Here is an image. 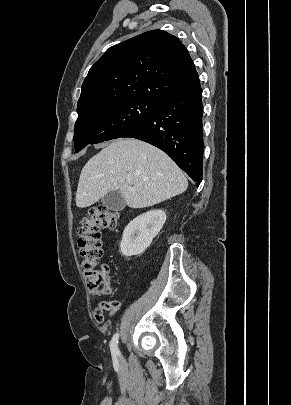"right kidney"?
Masks as SVG:
<instances>
[{
	"label": "right kidney",
	"instance_id": "ca27d5eb",
	"mask_svg": "<svg viewBox=\"0 0 291 405\" xmlns=\"http://www.w3.org/2000/svg\"><path fill=\"white\" fill-rule=\"evenodd\" d=\"M166 221L163 210H150L133 219L125 228L120 244L123 256L142 254Z\"/></svg>",
	"mask_w": 291,
	"mask_h": 405
}]
</instances>
